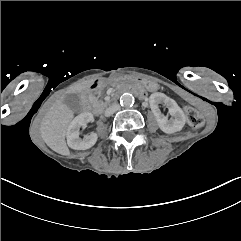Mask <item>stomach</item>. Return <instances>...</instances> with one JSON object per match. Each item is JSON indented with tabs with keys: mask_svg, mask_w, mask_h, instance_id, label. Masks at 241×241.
Segmentation results:
<instances>
[{
	"mask_svg": "<svg viewBox=\"0 0 241 241\" xmlns=\"http://www.w3.org/2000/svg\"><path fill=\"white\" fill-rule=\"evenodd\" d=\"M112 81L114 83H121V84H140L149 91H155V90H158L159 88V84L153 80L138 78L135 76L124 75L120 73L114 74L112 76Z\"/></svg>",
	"mask_w": 241,
	"mask_h": 241,
	"instance_id": "obj_1",
	"label": "stomach"
}]
</instances>
